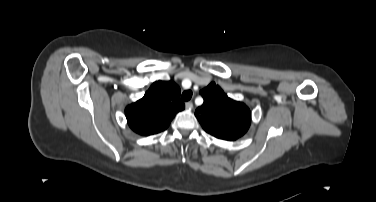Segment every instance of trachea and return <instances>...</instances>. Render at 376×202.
Instances as JSON below:
<instances>
[{"mask_svg": "<svg viewBox=\"0 0 376 202\" xmlns=\"http://www.w3.org/2000/svg\"><path fill=\"white\" fill-rule=\"evenodd\" d=\"M192 95H193V93H192L191 90H186L182 93L181 98H182L183 101H188V100L191 99Z\"/></svg>", "mask_w": 376, "mask_h": 202, "instance_id": "1", "label": "trachea"}]
</instances>
